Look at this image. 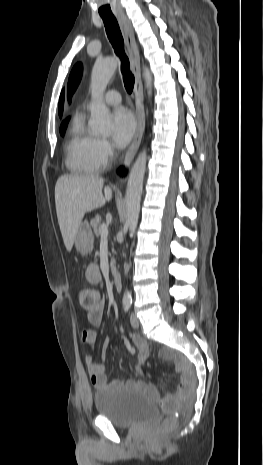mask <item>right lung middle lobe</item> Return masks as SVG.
Listing matches in <instances>:
<instances>
[{
  "label": "right lung middle lobe",
  "mask_w": 263,
  "mask_h": 465,
  "mask_svg": "<svg viewBox=\"0 0 263 465\" xmlns=\"http://www.w3.org/2000/svg\"><path fill=\"white\" fill-rule=\"evenodd\" d=\"M68 120H69V119L63 121L62 124H61V126H60V134H61V135H63L64 132H65V129H66L67 124H68Z\"/></svg>",
  "instance_id": "right-lung-middle-lobe-1"
}]
</instances>
